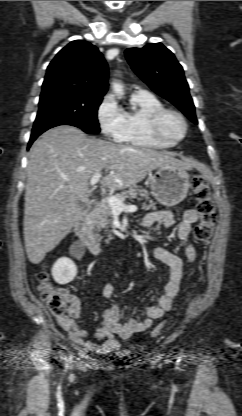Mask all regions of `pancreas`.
I'll list each match as a JSON object with an SVG mask.
<instances>
[{
	"label": "pancreas",
	"instance_id": "pancreas-1",
	"mask_svg": "<svg viewBox=\"0 0 242 416\" xmlns=\"http://www.w3.org/2000/svg\"><path fill=\"white\" fill-rule=\"evenodd\" d=\"M115 197L121 199L122 201H125L126 199H137L138 201H141L142 199H145V201L148 203H143V210L156 209V203L150 199L149 193L146 189H142L139 187H131L129 188V190L123 191L122 193L117 194ZM112 215L113 209L111 208L107 200L102 201L91 215L93 229L97 232H101L103 229H107L109 225H111V227L113 228ZM112 231L113 230H111L110 232ZM95 236L99 239L102 238L98 233H96ZM108 238L112 239L111 235H108Z\"/></svg>",
	"mask_w": 242,
	"mask_h": 416
}]
</instances>
